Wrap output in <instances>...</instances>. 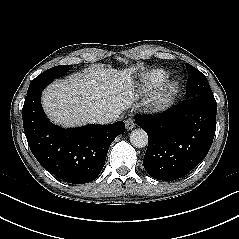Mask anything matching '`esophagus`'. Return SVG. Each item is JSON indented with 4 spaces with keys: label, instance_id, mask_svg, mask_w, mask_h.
Returning <instances> with one entry per match:
<instances>
[{
    "label": "esophagus",
    "instance_id": "34e87169",
    "mask_svg": "<svg viewBox=\"0 0 239 239\" xmlns=\"http://www.w3.org/2000/svg\"><path fill=\"white\" fill-rule=\"evenodd\" d=\"M125 126L127 130H131L135 126L134 119L132 117H129L125 120Z\"/></svg>",
    "mask_w": 239,
    "mask_h": 239
}]
</instances>
